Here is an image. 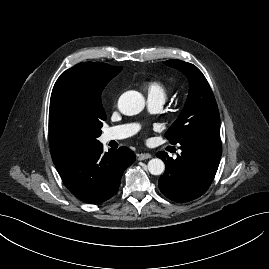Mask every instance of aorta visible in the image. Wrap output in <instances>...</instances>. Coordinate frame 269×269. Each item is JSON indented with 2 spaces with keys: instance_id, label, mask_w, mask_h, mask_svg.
Wrapping results in <instances>:
<instances>
[{
  "instance_id": "aorta-1",
  "label": "aorta",
  "mask_w": 269,
  "mask_h": 269,
  "mask_svg": "<svg viewBox=\"0 0 269 269\" xmlns=\"http://www.w3.org/2000/svg\"><path fill=\"white\" fill-rule=\"evenodd\" d=\"M145 106V100L141 93L131 90L123 93L118 100V107L124 115L132 116L140 113ZM165 170L164 162L159 158H153L148 162V171L152 175H161Z\"/></svg>"
}]
</instances>
